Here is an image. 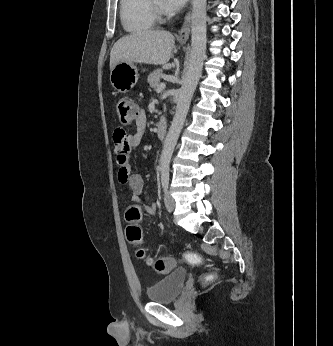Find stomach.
<instances>
[{
  "instance_id": "stomach-1",
  "label": "stomach",
  "mask_w": 333,
  "mask_h": 346,
  "mask_svg": "<svg viewBox=\"0 0 333 346\" xmlns=\"http://www.w3.org/2000/svg\"><path fill=\"white\" fill-rule=\"evenodd\" d=\"M138 80V69L134 63H117L110 72V83L120 93L130 91Z\"/></svg>"
}]
</instances>
